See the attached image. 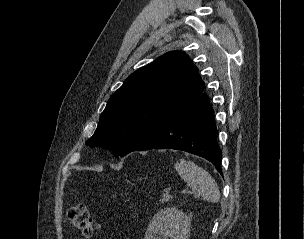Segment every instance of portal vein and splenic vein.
<instances>
[{"label": "portal vein and splenic vein", "instance_id": "1", "mask_svg": "<svg viewBox=\"0 0 304 239\" xmlns=\"http://www.w3.org/2000/svg\"><path fill=\"white\" fill-rule=\"evenodd\" d=\"M187 192V190H182V193H186Z\"/></svg>", "mask_w": 304, "mask_h": 239}]
</instances>
